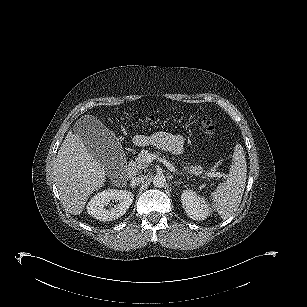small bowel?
<instances>
[{"label": "small bowel", "instance_id": "obj_1", "mask_svg": "<svg viewBox=\"0 0 307 307\" xmlns=\"http://www.w3.org/2000/svg\"><path fill=\"white\" fill-rule=\"evenodd\" d=\"M160 146L166 148L173 154L179 155L183 152L182 139L169 133L162 132L157 136Z\"/></svg>", "mask_w": 307, "mask_h": 307}]
</instances>
